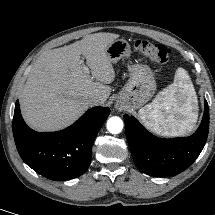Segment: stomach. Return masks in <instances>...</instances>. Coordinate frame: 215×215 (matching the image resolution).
Instances as JSON below:
<instances>
[{"mask_svg":"<svg viewBox=\"0 0 215 215\" xmlns=\"http://www.w3.org/2000/svg\"><path fill=\"white\" fill-rule=\"evenodd\" d=\"M106 53L111 62L116 63L120 59L130 56L131 47L126 40L117 39L107 46ZM127 67L130 78L120 91L116 105L138 109L153 97L156 82L148 65L129 62Z\"/></svg>","mask_w":215,"mask_h":215,"instance_id":"obj_1","label":"stomach"}]
</instances>
